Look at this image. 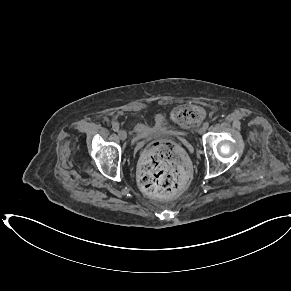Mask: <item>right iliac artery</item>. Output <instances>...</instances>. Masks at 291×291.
I'll list each match as a JSON object with an SVG mask.
<instances>
[{
  "mask_svg": "<svg viewBox=\"0 0 291 291\" xmlns=\"http://www.w3.org/2000/svg\"><path fill=\"white\" fill-rule=\"evenodd\" d=\"M112 129H113V131L117 132L119 130V124L118 123H113L112 124Z\"/></svg>",
  "mask_w": 291,
  "mask_h": 291,
  "instance_id": "1",
  "label": "right iliac artery"
}]
</instances>
